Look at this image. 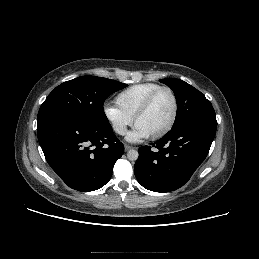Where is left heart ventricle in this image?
Masks as SVG:
<instances>
[{"label":"left heart ventricle","instance_id":"b2bd125f","mask_svg":"<svg viewBox=\"0 0 259 259\" xmlns=\"http://www.w3.org/2000/svg\"><path fill=\"white\" fill-rule=\"evenodd\" d=\"M173 99L169 92L161 91L153 100L148 112L136 123L148 136L162 130L173 114Z\"/></svg>","mask_w":259,"mask_h":259}]
</instances>
